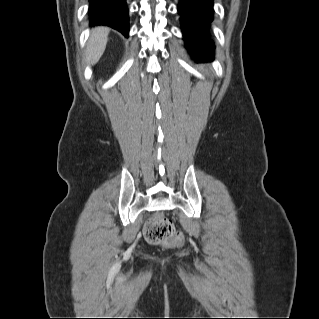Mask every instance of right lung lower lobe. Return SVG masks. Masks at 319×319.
<instances>
[{"label":"right lung lower lobe","mask_w":319,"mask_h":319,"mask_svg":"<svg viewBox=\"0 0 319 319\" xmlns=\"http://www.w3.org/2000/svg\"><path fill=\"white\" fill-rule=\"evenodd\" d=\"M89 19L92 25H105L129 34L126 0H89Z\"/></svg>","instance_id":"right-lung-lower-lobe-1"}]
</instances>
